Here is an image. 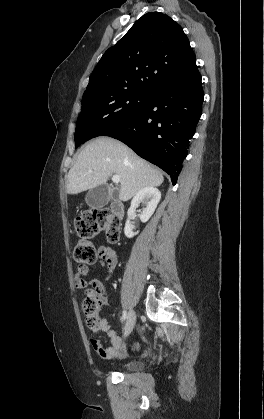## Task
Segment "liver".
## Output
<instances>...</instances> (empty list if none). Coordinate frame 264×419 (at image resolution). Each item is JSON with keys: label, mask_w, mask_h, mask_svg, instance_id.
Instances as JSON below:
<instances>
[{"label": "liver", "mask_w": 264, "mask_h": 419, "mask_svg": "<svg viewBox=\"0 0 264 419\" xmlns=\"http://www.w3.org/2000/svg\"><path fill=\"white\" fill-rule=\"evenodd\" d=\"M120 177L119 199L128 201L145 187L163 183V174L122 142L98 137L80 152L69 170L66 190L78 194L105 184L111 175Z\"/></svg>", "instance_id": "obj_1"}]
</instances>
